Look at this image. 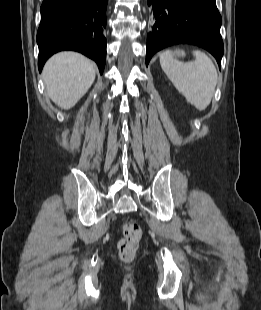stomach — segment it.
I'll list each match as a JSON object with an SVG mask.
<instances>
[{
	"instance_id": "1",
	"label": "stomach",
	"mask_w": 261,
	"mask_h": 310,
	"mask_svg": "<svg viewBox=\"0 0 261 310\" xmlns=\"http://www.w3.org/2000/svg\"><path fill=\"white\" fill-rule=\"evenodd\" d=\"M180 57V56H184V52L183 51H176L174 54H173V57Z\"/></svg>"
}]
</instances>
